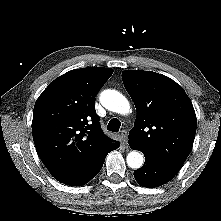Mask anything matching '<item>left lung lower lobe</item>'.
Here are the masks:
<instances>
[{
  "instance_id": "1",
  "label": "left lung lower lobe",
  "mask_w": 221,
  "mask_h": 221,
  "mask_svg": "<svg viewBox=\"0 0 221 221\" xmlns=\"http://www.w3.org/2000/svg\"><path fill=\"white\" fill-rule=\"evenodd\" d=\"M145 156V163L134 171L136 181L143 187H157L169 182L179 171L156 161L149 155Z\"/></svg>"
}]
</instances>
